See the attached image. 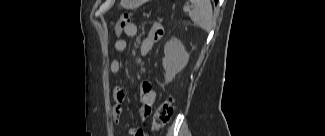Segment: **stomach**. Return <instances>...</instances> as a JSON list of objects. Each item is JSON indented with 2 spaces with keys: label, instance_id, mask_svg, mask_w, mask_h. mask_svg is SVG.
<instances>
[{
  "label": "stomach",
  "instance_id": "1",
  "mask_svg": "<svg viewBox=\"0 0 325 136\" xmlns=\"http://www.w3.org/2000/svg\"><path fill=\"white\" fill-rule=\"evenodd\" d=\"M142 0H121V4L126 8H133L141 4Z\"/></svg>",
  "mask_w": 325,
  "mask_h": 136
}]
</instances>
